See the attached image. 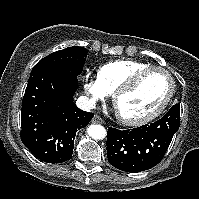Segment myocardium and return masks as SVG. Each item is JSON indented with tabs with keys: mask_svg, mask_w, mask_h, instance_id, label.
<instances>
[{
	"mask_svg": "<svg viewBox=\"0 0 199 199\" xmlns=\"http://www.w3.org/2000/svg\"><path fill=\"white\" fill-rule=\"evenodd\" d=\"M150 72H162L164 73L170 82V87H169V91L165 97V99L162 101V103L152 112H150L149 114H146L144 116L141 117H137V118H131V117H127L123 114H121L118 111V102L119 99L131 92L136 85L138 84L139 80L145 75L148 74ZM175 80L173 75L165 68L163 67H159V66H149L146 68H142L136 72H134L122 85H120L114 92H113V104L116 110V114L118 119L125 125L128 126H140V125H144L147 124L149 122H151L152 120H154L155 118H157L165 109L166 107L169 105L174 93H175Z\"/></svg>",
	"mask_w": 199,
	"mask_h": 199,
	"instance_id": "1",
	"label": "myocardium"
}]
</instances>
